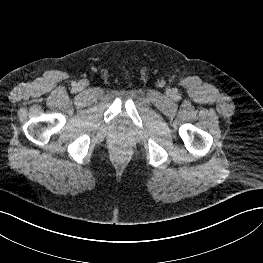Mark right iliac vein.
Masks as SVG:
<instances>
[{
	"instance_id": "1",
	"label": "right iliac vein",
	"mask_w": 263,
	"mask_h": 263,
	"mask_svg": "<svg viewBox=\"0 0 263 263\" xmlns=\"http://www.w3.org/2000/svg\"><path fill=\"white\" fill-rule=\"evenodd\" d=\"M79 86H80V87H84V86H85V83H80Z\"/></svg>"
}]
</instances>
